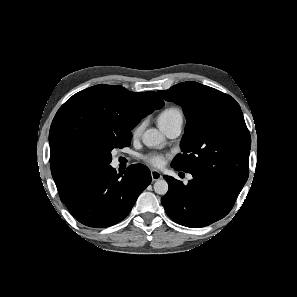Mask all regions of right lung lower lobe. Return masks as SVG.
I'll use <instances>...</instances> for the list:
<instances>
[{"label":"right lung lower lobe","instance_id":"98d812e1","mask_svg":"<svg viewBox=\"0 0 297 297\" xmlns=\"http://www.w3.org/2000/svg\"><path fill=\"white\" fill-rule=\"evenodd\" d=\"M110 165L94 170L60 197L82 224L105 228L123 220L140 193L151 183L150 170L141 164L127 168L124 176Z\"/></svg>","mask_w":297,"mask_h":297}]
</instances>
